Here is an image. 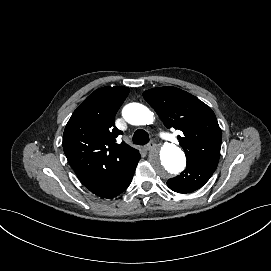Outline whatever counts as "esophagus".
Listing matches in <instances>:
<instances>
[{"label": "esophagus", "mask_w": 271, "mask_h": 271, "mask_svg": "<svg viewBox=\"0 0 271 271\" xmlns=\"http://www.w3.org/2000/svg\"><path fill=\"white\" fill-rule=\"evenodd\" d=\"M156 146H157V145H156L155 143L150 142V143H148L147 145H145L144 148H145L146 150H148V151H151V150L155 149Z\"/></svg>", "instance_id": "34e87169"}]
</instances>
